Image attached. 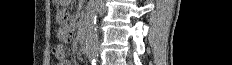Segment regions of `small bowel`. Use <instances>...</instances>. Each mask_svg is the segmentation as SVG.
<instances>
[{
  "label": "small bowel",
  "instance_id": "1",
  "mask_svg": "<svg viewBox=\"0 0 232 65\" xmlns=\"http://www.w3.org/2000/svg\"><path fill=\"white\" fill-rule=\"evenodd\" d=\"M58 16L54 17L55 21H67V17H75V12H58ZM58 31L56 37H59V43L68 44L70 40H76L75 32H68L69 26H65V23H58ZM77 46V43H74ZM59 65H71L69 61H64Z\"/></svg>",
  "mask_w": 232,
  "mask_h": 65
}]
</instances>
